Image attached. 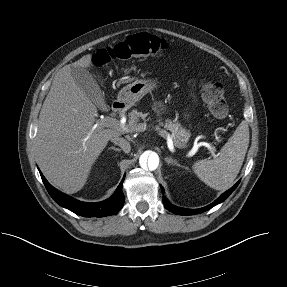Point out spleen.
Wrapping results in <instances>:
<instances>
[{
  "mask_svg": "<svg viewBox=\"0 0 287 287\" xmlns=\"http://www.w3.org/2000/svg\"><path fill=\"white\" fill-rule=\"evenodd\" d=\"M249 146V127L243 120L229 141L221 148L217 158L199 160L193 170L198 178L216 190L231 187L237 177Z\"/></svg>",
  "mask_w": 287,
  "mask_h": 287,
  "instance_id": "spleen-1",
  "label": "spleen"
}]
</instances>
